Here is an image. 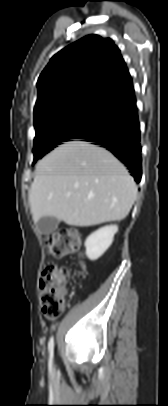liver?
<instances>
[{
    "label": "liver",
    "mask_w": 168,
    "mask_h": 406,
    "mask_svg": "<svg viewBox=\"0 0 168 406\" xmlns=\"http://www.w3.org/2000/svg\"><path fill=\"white\" fill-rule=\"evenodd\" d=\"M134 179L109 151L68 141L41 159L30 189L34 222L55 217L73 226L123 220L136 199Z\"/></svg>",
    "instance_id": "obj_1"
}]
</instances>
